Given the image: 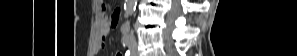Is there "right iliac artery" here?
I'll return each mask as SVG.
<instances>
[{
    "label": "right iliac artery",
    "instance_id": "1",
    "mask_svg": "<svg viewBox=\"0 0 297 56\" xmlns=\"http://www.w3.org/2000/svg\"><path fill=\"white\" fill-rule=\"evenodd\" d=\"M121 41H122L123 46H127L129 43V37L123 36Z\"/></svg>",
    "mask_w": 297,
    "mask_h": 56
}]
</instances>
